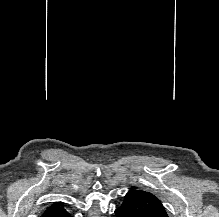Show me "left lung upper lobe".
Here are the masks:
<instances>
[{
    "mask_svg": "<svg viewBox=\"0 0 219 217\" xmlns=\"http://www.w3.org/2000/svg\"><path fill=\"white\" fill-rule=\"evenodd\" d=\"M123 204H128L140 217H168L161 201L152 193L137 188L131 189Z\"/></svg>",
    "mask_w": 219,
    "mask_h": 217,
    "instance_id": "left-lung-upper-lobe-1",
    "label": "left lung upper lobe"
}]
</instances>
